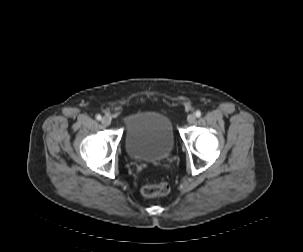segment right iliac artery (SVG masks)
Segmentation results:
<instances>
[{
  "label": "right iliac artery",
  "mask_w": 303,
  "mask_h": 252,
  "mask_svg": "<svg viewBox=\"0 0 303 252\" xmlns=\"http://www.w3.org/2000/svg\"><path fill=\"white\" fill-rule=\"evenodd\" d=\"M97 120H101V116L99 114L96 115Z\"/></svg>",
  "instance_id": "1"
}]
</instances>
